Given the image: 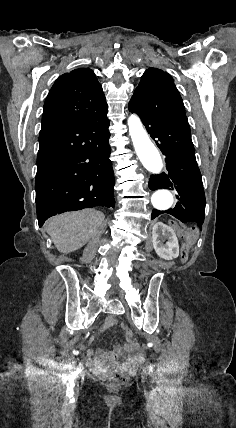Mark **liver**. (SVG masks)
<instances>
[{
	"label": "liver",
	"mask_w": 236,
	"mask_h": 428,
	"mask_svg": "<svg viewBox=\"0 0 236 428\" xmlns=\"http://www.w3.org/2000/svg\"><path fill=\"white\" fill-rule=\"evenodd\" d=\"M104 220L105 216L102 212L81 210V212H66L61 216H53L47 220L45 226L58 252L69 254L80 250L94 234L101 236L105 230Z\"/></svg>",
	"instance_id": "6515ba94"
}]
</instances>
